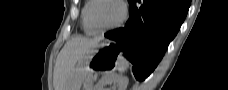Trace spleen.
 Listing matches in <instances>:
<instances>
[{
    "mask_svg": "<svg viewBox=\"0 0 228 90\" xmlns=\"http://www.w3.org/2000/svg\"><path fill=\"white\" fill-rule=\"evenodd\" d=\"M128 67H129V64H128L127 60H125L123 57H120V59L118 61V65H117V70L120 73H123L127 70Z\"/></svg>",
    "mask_w": 228,
    "mask_h": 90,
    "instance_id": "3e777b00",
    "label": "spleen"
}]
</instances>
